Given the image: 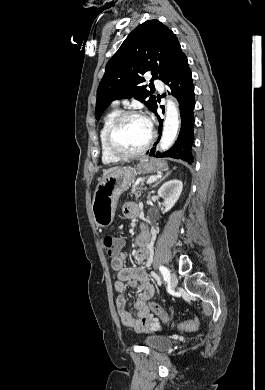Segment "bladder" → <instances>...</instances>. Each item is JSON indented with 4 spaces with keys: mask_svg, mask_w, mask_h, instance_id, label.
Instances as JSON below:
<instances>
[{
    "mask_svg": "<svg viewBox=\"0 0 265 390\" xmlns=\"http://www.w3.org/2000/svg\"><path fill=\"white\" fill-rule=\"evenodd\" d=\"M145 344L154 350H165L171 347L172 341L164 336L149 335L144 339Z\"/></svg>",
    "mask_w": 265,
    "mask_h": 390,
    "instance_id": "1",
    "label": "bladder"
}]
</instances>
